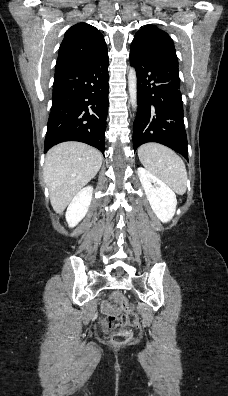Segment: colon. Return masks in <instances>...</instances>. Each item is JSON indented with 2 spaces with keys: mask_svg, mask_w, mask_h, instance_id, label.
Returning a JSON list of instances; mask_svg holds the SVG:
<instances>
[{
  "mask_svg": "<svg viewBox=\"0 0 228 396\" xmlns=\"http://www.w3.org/2000/svg\"><path fill=\"white\" fill-rule=\"evenodd\" d=\"M110 302L113 307L122 308L123 312L119 315H104L100 323L105 331L111 333V342L114 345H122L130 338L129 328L139 326V318L121 291H114L111 294Z\"/></svg>",
  "mask_w": 228,
  "mask_h": 396,
  "instance_id": "obj_1",
  "label": "colon"
}]
</instances>
